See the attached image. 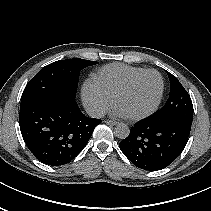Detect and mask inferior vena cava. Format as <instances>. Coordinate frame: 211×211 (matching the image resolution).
I'll return each mask as SVG.
<instances>
[{
  "mask_svg": "<svg viewBox=\"0 0 211 211\" xmlns=\"http://www.w3.org/2000/svg\"><path fill=\"white\" fill-rule=\"evenodd\" d=\"M87 114L93 118H102L105 116V108L101 106H91L86 109Z\"/></svg>",
  "mask_w": 211,
  "mask_h": 211,
  "instance_id": "1",
  "label": "inferior vena cava"
}]
</instances>
